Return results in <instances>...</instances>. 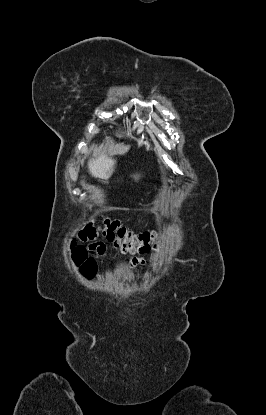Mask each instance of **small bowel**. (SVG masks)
Here are the masks:
<instances>
[{
    "mask_svg": "<svg viewBox=\"0 0 266 415\" xmlns=\"http://www.w3.org/2000/svg\"><path fill=\"white\" fill-rule=\"evenodd\" d=\"M89 250L94 252L98 256H103L106 253L107 247L103 242H94L89 245ZM149 262L146 258H134L130 261V266L135 268L137 266H144Z\"/></svg>",
    "mask_w": 266,
    "mask_h": 415,
    "instance_id": "c3829d8e",
    "label": "small bowel"
}]
</instances>
